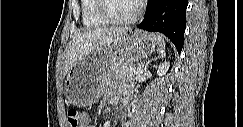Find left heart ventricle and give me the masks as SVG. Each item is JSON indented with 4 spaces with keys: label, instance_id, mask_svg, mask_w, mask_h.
<instances>
[{
    "label": "left heart ventricle",
    "instance_id": "1",
    "mask_svg": "<svg viewBox=\"0 0 243 127\" xmlns=\"http://www.w3.org/2000/svg\"><path fill=\"white\" fill-rule=\"evenodd\" d=\"M108 12L118 18H125L133 14L136 8L134 0H106Z\"/></svg>",
    "mask_w": 243,
    "mask_h": 127
}]
</instances>
